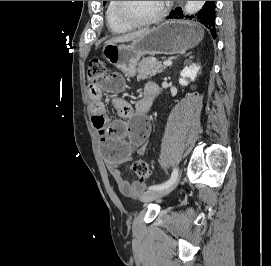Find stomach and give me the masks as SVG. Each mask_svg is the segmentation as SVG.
<instances>
[{"label": "stomach", "instance_id": "0dacf381", "mask_svg": "<svg viewBox=\"0 0 271 266\" xmlns=\"http://www.w3.org/2000/svg\"><path fill=\"white\" fill-rule=\"evenodd\" d=\"M204 36L195 23L171 20L149 29L130 44H105L103 57L127 75H134L145 54H176L195 47Z\"/></svg>", "mask_w": 271, "mask_h": 266}]
</instances>
